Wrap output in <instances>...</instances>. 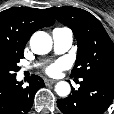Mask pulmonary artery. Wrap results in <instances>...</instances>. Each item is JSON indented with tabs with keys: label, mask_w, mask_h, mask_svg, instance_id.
Returning a JSON list of instances; mask_svg holds the SVG:
<instances>
[{
	"label": "pulmonary artery",
	"mask_w": 114,
	"mask_h": 114,
	"mask_svg": "<svg viewBox=\"0 0 114 114\" xmlns=\"http://www.w3.org/2000/svg\"><path fill=\"white\" fill-rule=\"evenodd\" d=\"M53 48L56 54L69 50L73 42V32L67 27H57L52 31Z\"/></svg>",
	"instance_id": "1"
}]
</instances>
